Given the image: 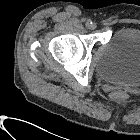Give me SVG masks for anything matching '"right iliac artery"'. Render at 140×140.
I'll return each mask as SVG.
<instances>
[{
	"label": "right iliac artery",
	"mask_w": 140,
	"mask_h": 140,
	"mask_svg": "<svg viewBox=\"0 0 140 140\" xmlns=\"http://www.w3.org/2000/svg\"><path fill=\"white\" fill-rule=\"evenodd\" d=\"M91 24H92V21H91V20H87V21H86V26L89 27Z\"/></svg>",
	"instance_id": "right-iliac-artery-1"
}]
</instances>
